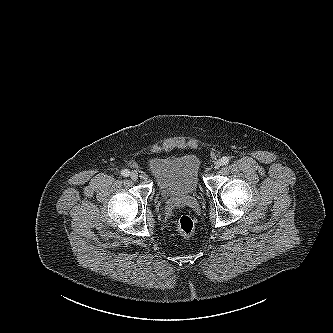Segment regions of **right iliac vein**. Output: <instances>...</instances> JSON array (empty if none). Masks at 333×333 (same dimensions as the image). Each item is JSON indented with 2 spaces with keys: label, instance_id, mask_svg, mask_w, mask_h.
<instances>
[{
  "label": "right iliac vein",
  "instance_id": "1",
  "mask_svg": "<svg viewBox=\"0 0 333 333\" xmlns=\"http://www.w3.org/2000/svg\"><path fill=\"white\" fill-rule=\"evenodd\" d=\"M130 178H131L132 180H137V179H138V173L135 172V171L131 172V173H130Z\"/></svg>",
  "mask_w": 333,
  "mask_h": 333
}]
</instances>
